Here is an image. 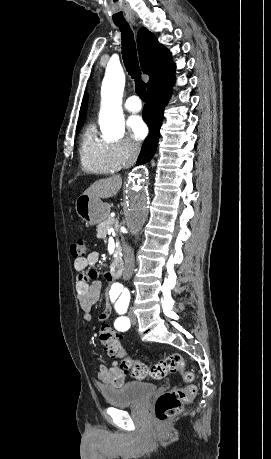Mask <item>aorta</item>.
<instances>
[{"label": "aorta", "instance_id": "1", "mask_svg": "<svg viewBox=\"0 0 271 459\" xmlns=\"http://www.w3.org/2000/svg\"><path fill=\"white\" fill-rule=\"evenodd\" d=\"M125 76L121 69L108 70L101 87L102 108L100 111V128L103 134L113 140L119 139L124 131L122 97ZM148 169L137 167L129 174L126 192L122 202L123 215L130 235H138L149 214V178ZM120 284H113L114 290Z\"/></svg>", "mask_w": 271, "mask_h": 459}]
</instances>
